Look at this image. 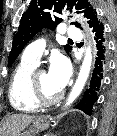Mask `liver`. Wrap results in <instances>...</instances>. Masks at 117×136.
<instances>
[{
    "label": "liver",
    "mask_w": 117,
    "mask_h": 136,
    "mask_svg": "<svg viewBox=\"0 0 117 136\" xmlns=\"http://www.w3.org/2000/svg\"><path fill=\"white\" fill-rule=\"evenodd\" d=\"M36 119L34 115L16 113L6 117L0 135L2 136H18L31 122Z\"/></svg>",
    "instance_id": "obj_1"
}]
</instances>
